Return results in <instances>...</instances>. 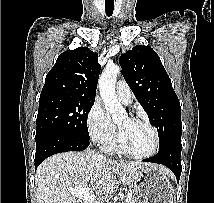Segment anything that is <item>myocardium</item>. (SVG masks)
Segmentation results:
<instances>
[{
	"mask_svg": "<svg viewBox=\"0 0 214 203\" xmlns=\"http://www.w3.org/2000/svg\"><path fill=\"white\" fill-rule=\"evenodd\" d=\"M132 120L140 122L144 125H146L153 133V138H154V143H153V147L152 149L145 153V154H134L130 151H128L122 142V136H121V131L120 128L118 127L117 130V137H116V148L117 150L123 154L126 157L132 158V159H136V160H144V159H148L151 158L152 156H154L158 150H159V146H160V136H159V132L156 129V127H154L148 120L140 118V117H131Z\"/></svg>",
	"mask_w": 214,
	"mask_h": 203,
	"instance_id": "1",
	"label": "myocardium"
}]
</instances>
